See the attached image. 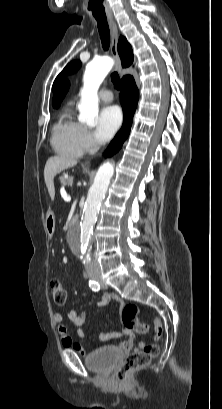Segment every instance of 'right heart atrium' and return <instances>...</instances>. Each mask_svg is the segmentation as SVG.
Segmentation results:
<instances>
[{"label": "right heart atrium", "instance_id": "d8ad5b80", "mask_svg": "<svg viewBox=\"0 0 222 409\" xmlns=\"http://www.w3.org/2000/svg\"><path fill=\"white\" fill-rule=\"evenodd\" d=\"M81 140L86 151H92L96 148V142L89 129L87 128L82 129Z\"/></svg>", "mask_w": 222, "mask_h": 409}]
</instances>
